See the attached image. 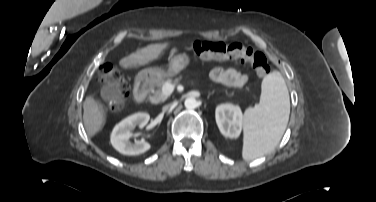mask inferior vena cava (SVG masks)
<instances>
[{
    "label": "inferior vena cava",
    "instance_id": "inferior-vena-cava-1",
    "mask_svg": "<svg viewBox=\"0 0 376 202\" xmlns=\"http://www.w3.org/2000/svg\"><path fill=\"white\" fill-rule=\"evenodd\" d=\"M168 109V106L163 107V110L166 111Z\"/></svg>",
    "mask_w": 376,
    "mask_h": 202
}]
</instances>
